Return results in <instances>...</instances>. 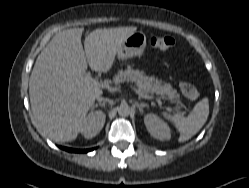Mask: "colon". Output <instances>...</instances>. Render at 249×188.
<instances>
[{
    "mask_svg": "<svg viewBox=\"0 0 249 188\" xmlns=\"http://www.w3.org/2000/svg\"><path fill=\"white\" fill-rule=\"evenodd\" d=\"M151 46L155 49L166 51L173 47L174 40L167 36H155L150 40ZM180 89L183 95L189 100H196L199 97L197 88L189 82H181Z\"/></svg>",
    "mask_w": 249,
    "mask_h": 188,
    "instance_id": "colon-1",
    "label": "colon"
}]
</instances>
